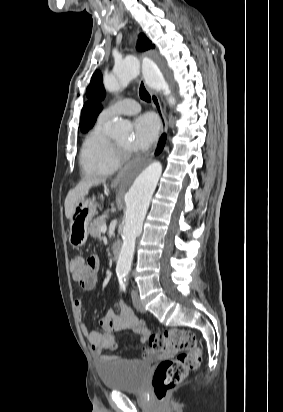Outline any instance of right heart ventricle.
<instances>
[{
    "mask_svg": "<svg viewBox=\"0 0 283 412\" xmlns=\"http://www.w3.org/2000/svg\"><path fill=\"white\" fill-rule=\"evenodd\" d=\"M105 125L106 122L99 119L83 141L79 164L85 176H109L120 167L121 163L115 156L113 141L107 136Z\"/></svg>",
    "mask_w": 283,
    "mask_h": 412,
    "instance_id": "e07e8e85",
    "label": "right heart ventricle"
}]
</instances>
